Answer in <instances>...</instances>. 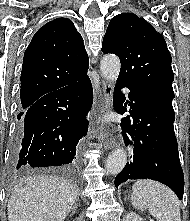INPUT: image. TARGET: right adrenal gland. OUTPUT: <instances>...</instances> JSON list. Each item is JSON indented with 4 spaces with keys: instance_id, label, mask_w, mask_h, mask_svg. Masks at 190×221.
<instances>
[{
    "instance_id": "2a0ac1e0",
    "label": "right adrenal gland",
    "mask_w": 190,
    "mask_h": 221,
    "mask_svg": "<svg viewBox=\"0 0 190 221\" xmlns=\"http://www.w3.org/2000/svg\"><path fill=\"white\" fill-rule=\"evenodd\" d=\"M78 201H79V197L76 198V201L74 203V206L72 207V214L76 213V209L78 207Z\"/></svg>"
}]
</instances>
